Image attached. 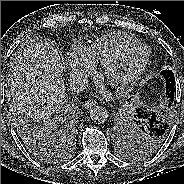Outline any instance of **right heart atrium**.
<instances>
[{"mask_svg":"<svg viewBox=\"0 0 184 184\" xmlns=\"http://www.w3.org/2000/svg\"><path fill=\"white\" fill-rule=\"evenodd\" d=\"M71 71L81 77L92 76L97 71V65L88 57L84 47L75 46L69 55Z\"/></svg>","mask_w":184,"mask_h":184,"instance_id":"right-heart-atrium-1","label":"right heart atrium"}]
</instances>
